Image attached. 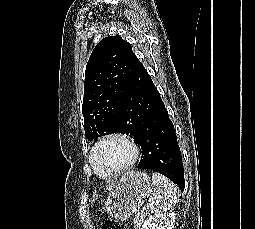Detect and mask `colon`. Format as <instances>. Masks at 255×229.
<instances>
[{"label": "colon", "mask_w": 255, "mask_h": 229, "mask_svg": "<svg viewBox=\"0 0 255 229\" xmlns=\"http://www.w3.org/2000/svg\"><path fill=\"white\" fill-rule=\"evenodd\" d=\"M101 229H121L119 224L114 220L104 221Z\"/></svg>", "instance_id": "5ec220e1"}]
</instances>
